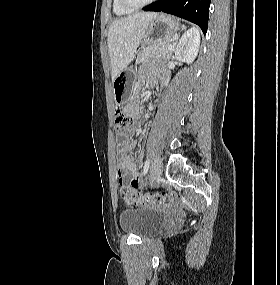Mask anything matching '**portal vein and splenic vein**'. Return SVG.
Instances as JSON below:
<instances>
[{"label": "portal vein and splenic vein", "instance_id": "18ae733b", "mask_svg": "<svg viewBox=\"0 0 280 285\" xmlns=\"http://www.w3.org/2000/svg\"><path fill=\"white\" fill-rule=\"evenodd\" d=\"M168 49L171 50V51L174 50V45H170V46L168 47Z\"/></svg>", "mask_w": 280, "mask_h": 285}]
</instances>
